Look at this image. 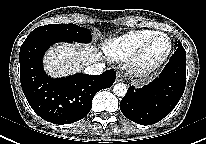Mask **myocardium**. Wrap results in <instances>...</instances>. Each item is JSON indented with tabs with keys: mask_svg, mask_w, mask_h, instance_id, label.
<instances>
[{
	"mask_svg": "<svg viewBox=\"0 0 206 144\" xmlns=\"http://www.w3.org/2000/svg\"><path fill=\"white\" fill-rule=\"evenodd\" d=\"M158 37H165L168 41V47L166 52L157 60L153 62H148L146 60V53L152 44V42ZM173 49V44L171 38L163 33L157 32L150 36L129 58L128 68L131 73L138 76H145L153 73L159 69L170 57Z\"/></svg>",
	"mask_w": 206,
	"mask_h": 144,
	"instance_id": "obj_1",
	"label": "myocardium"
}]
</instances>
